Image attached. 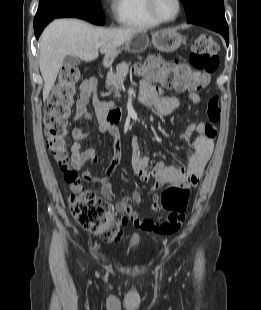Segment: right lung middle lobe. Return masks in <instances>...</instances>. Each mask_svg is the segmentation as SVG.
Returning <instances> with one entry per match:
<instances>
[{
    "label": "right lung middle lobe",
    "instance_id": "right-lung-middle-lobe-1",
    "mask_svg": "<svg viewBox=\"0 0 261 310\" xmlns=\"http://www.w3.org/2000/svg\"><path fill=\"white\" fill-rule=\"evenodd\" d=\"M60 17L81 18L96 25L105 23L100 0H39L34 26Z\"/></svg>",
    "mask_w": 261,
    "mask_h": 310
}]
</instances>
